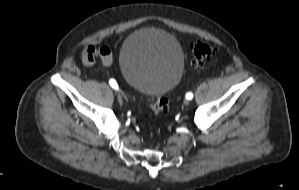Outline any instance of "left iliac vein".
<instances>
[{
    "instance_id": "left-iliac-vein-1",
    "label": "left iliac vein",
    "mask_w": 299,
    "mask_h": 190,
    "mask_svg": "<svg viewBox=\"0 0 299 190\" xmlns=\"http://www.w3.org/2000/svg\"><path fill=\"white\" fill-rule=\"evenodd\" d=\"M189 104V100L188 99H185L184 100V105H188Z\"/></svg>"
}]
</instances>
